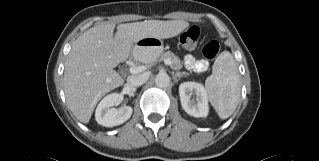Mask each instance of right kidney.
<instances>
[{"instance_id": "right-kidney-1", "label": "right kidney", "mask_w": 319, "mask_h": 161, "mask_svg": "<svg viewBox=\"0 0 319 161\" xmlns=\"http://www.w3.org/2000/svg\"><path fill=\"white\" fill-rule=\"evenodd\" d=\"M121 99L119 93H111L104 97L98 104L95 112V119L98 124L105 127L118 126L126 122L132 115L133 109L130 106L111 108Z\"/></svg>"}]
</instances>
